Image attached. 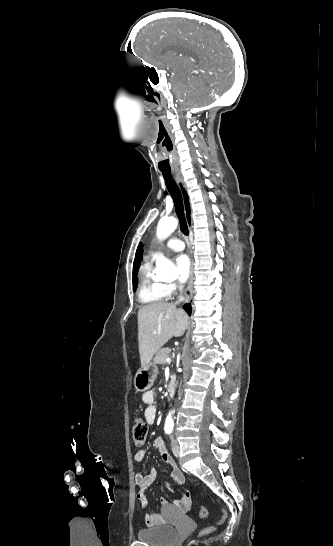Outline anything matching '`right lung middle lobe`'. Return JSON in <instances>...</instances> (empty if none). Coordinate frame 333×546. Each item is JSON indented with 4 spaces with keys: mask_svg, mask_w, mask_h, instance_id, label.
<instances>
[{
    "mask_svg": "<svg viewBox=\"0 0 333 546\" xmlns=\"http://www.w3.org/2000/svg\"><path fill=\"white\" fill-rule=\"evenodd\" d=\"M138 270V264L137 263H134L133 265V279L135 280V283L133 284V290L135 291L136 288H137V280L135 278V275H136V271Z\"/></svg>",
    "mask_w": 333,
    "mask_h": 546,
    "instance_id": "obj_1",
    "label": "right lung middle lobe"
}]
</instances>
